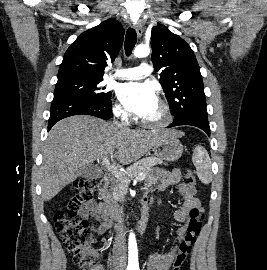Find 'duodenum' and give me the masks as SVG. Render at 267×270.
<instances>
[{"mask_svg":"<svg viewBox=\"0 0 267 270\" xmlns=\"http://www.w3.org/2000/svg\"><path fill=\"white\" fill-rule=\"evenodd\" d=\"M110 183V177L105 174L99 181L98 184V195L103 201L105 208L108 210L110 217L120 226L125 224L123 212L120 208L114 205L108 198L107 189ZM149 199L145 196L143 199L144 206L140 219L134 223V226L139 230H144L148 224L149 220V209H148Z\"/></svg>","mask_w":267,"mask_h":270,"instance_id":"1","label":"duodenum"}]
</instances>
